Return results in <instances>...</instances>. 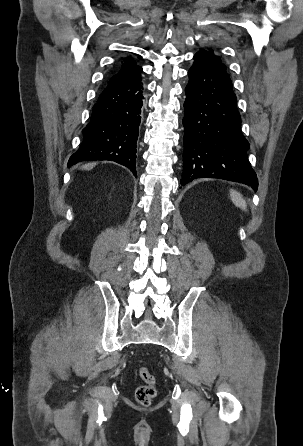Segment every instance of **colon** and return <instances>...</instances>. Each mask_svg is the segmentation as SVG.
Returning a JSON list of instances; mask_svg holds the SVG:
<instances>
[{"label": "colon", "mask_w": 303, "mask_h": 446, "mask_svg": "<svg viewBox=\"0 0 303 446\" xmlns=\"http://www.w3.org/2000/svg\"><path fill=\"white\" fill-rule=\"evenodd\" d=\"M139 377L142 383L136 388V401L143 406L150 405L157 395L156 379L153 373L145 366L139 368Z\"/></svg>", "instance_id": "colon-1"}]
</instances>
